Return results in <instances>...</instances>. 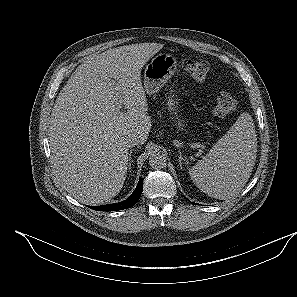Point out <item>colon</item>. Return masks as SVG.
Wrapping results in <instances>:
<instances>
[{"label": "colon", "mask_w": 297, "mask_h": 297, "mask_svg": "<svg viewBox=\"0 0 297 297\" xmlns=\"http://www.w3.org/2000/svg\"><path fill=\"white\" fill-rule=\"evenodd\" d=\"M185 71L198 82L206 80L209 73V64L201 60H186L183 63ZM237 109L236 100L228 93H221L218 95L215 106L214 114L216 117H225Z\"/></svg>", "instance_id": "1"}]
</instances>
